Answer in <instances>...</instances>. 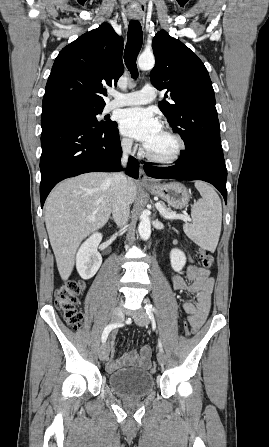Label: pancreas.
<instances>
[{"label": "pancreas", "instance_id": "obj_1", "mask_svg": "<svg viewBox=\"0 0 269 447\" xmlns=\"http://www.w3.org/2000/svg\"><path fill=\"white\" fill-rule=\"evenodd\" d=\"M160 204H162V206H164V208H166L165 204H163V202H160Z\"/></svg>", "mask_w": 269, "mask_h": 447}]
</instances>
